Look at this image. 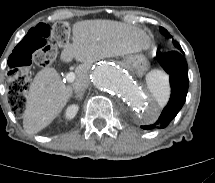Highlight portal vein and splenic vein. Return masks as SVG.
I'll return each mask as SVG.
<instances>
[{
	"label": "portal vein and splenic vein",
	"instance_id": "1",
	"mask_svg": "<svg viewBox=\"0 0 215 183\" xmlns=\"http://www.w3.org/2000/svg\"><path fill=\"white\" fill-rule=\"evenodd\" d=\"M75 73L74 72H69L66 76V79L68 82H73L75 80Z\"/></svg>",
	"mask_w": 215,
	"mask_h": 183
}]
</instances>
